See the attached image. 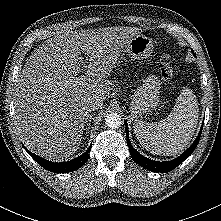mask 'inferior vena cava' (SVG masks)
Returning <instances> with one entry per match:
<instances>
[{
    "label": "inferior vena cava",
    "mask_w": 221,
    "mask_h": 221,
    "mask_svg": "<svg viewBox=\"0 0 221 221\" xmlns=\"http://www.w3.org/2000/svg\"><path fill=\"white\" fill-rule=\"evenodd\" d=\"M103 107V101L99 99L89 100L86 104L87 111L91 112L97 109H101Z\"/></svg>",
    "instance_id": "602c4592"
}]
</instances>
